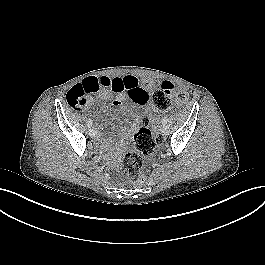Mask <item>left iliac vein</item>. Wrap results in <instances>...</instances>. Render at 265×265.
Instances as JSON below:
<instances>
[{"instance_id": "obj_1", "label": "left iliac vein", "mask_w": 265, "mask_h": 265, "mask_svg": "<svg viewBox=\"0 0 265 265\" xmlns=\"http://www.w3.org/2000/svg\"><path fill=\"white\" fill-rule=\"evenodd\" d=\"M161 132L163 135H168L170 132L168 125L164 124L161 128Z\"/></svg>"}]
</instances>
